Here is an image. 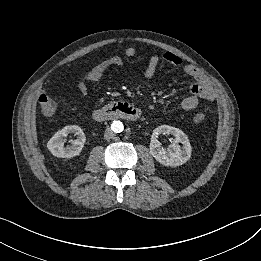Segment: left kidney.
<instances>
[{"label": "left kidney", "mask_w": 261, "mask_h": 261, "mask_svg": "<svg viewBox=\"0 0 261 261\" xmlns=\"http://www.w3.org/2000/svg\"><path fill=\"white\" fill-rule=\"evenodd\" d=\"M159 134L173 135L175 137L174 143L167 149L162 148L161 143L157 140ZM178 143H182V147ZM150 153L160 164L175 167L186 163L190 159L192 147L188 137L182 130L168 125H161L154 130L151 137Z\"/></svg>", "instance_id": "left-kidney-1"}]
</instances>
